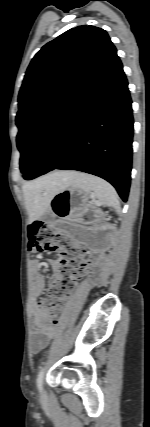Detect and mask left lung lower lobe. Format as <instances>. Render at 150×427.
Wrapping results in <instances>:
<instances>
[{"instance_id": "1", "label": "left lung lower lobe", "mask_w": 150, "mask_h": 427, "mask_svg": "<svg viewBox=\"0 0 150 427\" xmlns=\"http://www.w3.org/2000/svg\"><path fill=\"white\" fill-rule=\"evenodd\" d=\"M119 57L100 69L47 129L23 177L54 169L78 170L110 182L127 201L132 165L133 117Z\"/></svg>"}]
</instances>
